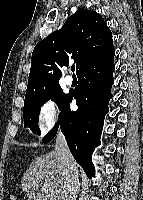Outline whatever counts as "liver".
Returning <instances> with one entry per match:
<instances>
[{
  "label": "liver",
  "mask_w": 143,
  "mask_h": 200,
  "mask_svg": "<svg viewBox=\"0 0 143 200\" xmlns=\"http://www.w3.org/2000/svg\"><path fill=\"white\" fill-rule=\"evenodd\" d=\"M41 185L49 189V200H63L65 171L56 151L36 157L23 175L22 189L29 198Z\"/></svg>",
  "instance_id": "6515ba94"
}]
</instances>
